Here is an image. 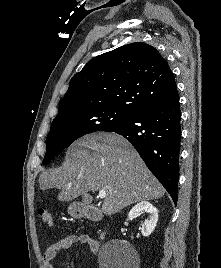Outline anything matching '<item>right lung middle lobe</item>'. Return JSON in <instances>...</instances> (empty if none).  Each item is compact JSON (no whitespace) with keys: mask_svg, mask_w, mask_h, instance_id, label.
<instances>
[{"mask_svg":"<svg viewBox=\"0 0 221 268\" xmlns=\"http://www.w3.org/2000/svg\"><path fill=\"white\" fill-rule=\"evenodd\" d=\"M130 119L131 117L126 114L109 110L57 116L46 139L43 164H47L81 136L97 131H110L124 125Z\"/></svg>","mask_w":221,"mask_h":268,"instance_id":"dd1d6c3e","label":"right lung middle lobe"}]
</instances>
